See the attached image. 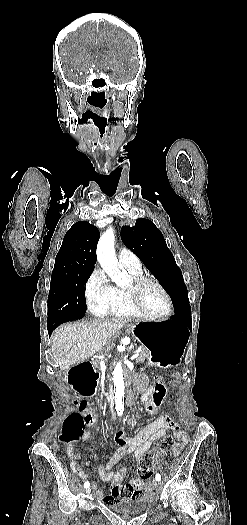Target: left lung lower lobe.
Listing matches in <instances>:
<instances>
[{
  "label": "left lung lower lobe",
  "mask_w": 247,
  "mask_h": 525,
  "mask_svg": "<svg viewBox=\"0 0 247 525\" xmlns=\"http://www.w3.org/2000/svg\"><path fill=\"white\" fill-rule=\"evenodd\" d=\"M172 319V322H176V323H184L186 324L189 328L192 327V320H191V311H187V312H181V313H178V314H175L171 317Z\"/></svg>",
  "instance_id": "left-lung-lower-lobe-1"
}]
</instances>
